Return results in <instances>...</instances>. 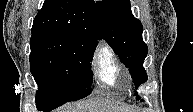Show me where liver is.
Here are the masks:
<instances>
[{
	"label": "liver",
	"instance_id": "1",
	"mask_svg": "<svg viewBox=\"0 0 193 112\" xmlns=\"http://www.w3.org/2000/svg\"><path fill=\"white\" fill-rule=\"evenodd\" d=\"M70 112H126V109L103 98L91 99L70 107Z\"/></svg>",
	"mask_w": 193,
	"mask_h": 112
}]
</instances>
